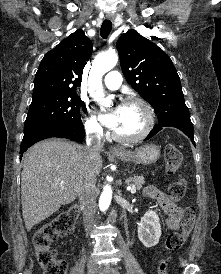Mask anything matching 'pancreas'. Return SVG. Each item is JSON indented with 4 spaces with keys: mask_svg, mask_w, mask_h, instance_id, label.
Listing matches in <instances>:
<instances>
[{
    "mask_svg": "<svg viewBox=\"0 0 221 274\" xmlns=\"http://www.w3.org/2000/svg\"><path fill=\"white\" fill-rule=\"evenodd\" d=\"M126 182L128 184L134 185L137 190H140L145 183V178H144V176L132 177V178L127 179Z\"/></svg>",
    "mask_w": 221,
    "mask_h": 274,
    "instance_id": "cf45deb5",
    "label": "pancreas"
}]
</instances>
